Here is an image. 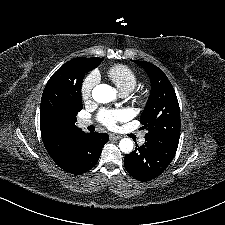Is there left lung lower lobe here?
Here are the masks:
<instances>
[{
    "label": "left lung lower lobe",
    "instance_id": "1",
    "mask_svg": "<svg viewBox=\"0 0 225 225\" xmlns=\"http://www.w3.org/2000/svg\"><path fill=\"white\" fill-rule=\"evenodd\" d=\"M177 147L157 141H146L124 157L129 174L139 181L158 177L174 158Z\"/></svg>",
    "mask_w": 225,
    "mask_h": 225
}]
</instances>
